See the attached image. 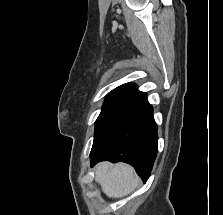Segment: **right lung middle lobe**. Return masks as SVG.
Instances as JSON below:
<instances>
[{
	"label": "right lung middle lobe",
	"mask_w": 223,
	"mask_h": 215,
	"mask_svg": "<svg viewBox=\"0 0 223 215\" xmlns=\"http://www.w3.org/2000/svg\"><path fill=\"white\" fill-rule=\"evenodd\" d=\"M145 99L144 96L126 92L109 93L95 122V135L91 152L99 146L124 117Z\"/></svg>",
	"instance_id": "1"
}]
</instances>
